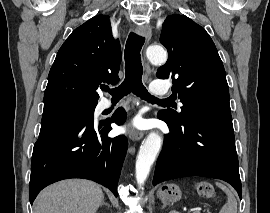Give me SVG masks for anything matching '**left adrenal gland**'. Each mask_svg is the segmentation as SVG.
Wrapping results in <instances>:
<instances>
[{"mask_svg":"<svg viewBox=\"0 0 270 213\" xmlns=\"http://www.w3.org/2000/svg\"><path fill=\"white\" fill-rule=\"evenodd\" d=\"M167 206L166 203H163L162 209H164Z\"/></svg>","mask_w":270,"mask_h":213,"instance_id":"left-adrenal-gland-1","label":"left adrenal gland"}]
</instances>
